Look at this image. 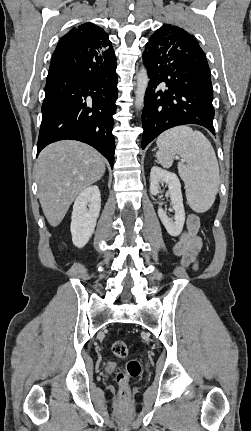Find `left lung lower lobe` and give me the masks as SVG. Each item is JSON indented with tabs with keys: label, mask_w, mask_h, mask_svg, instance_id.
<instances>
[{
	"label": "left lung lower lobe",
	"mask_w": 251,
	"mask_h": 431,
	"mask_svg": "<svg viewBox=\"0 0 251 431\" xmlns=\"http://www.w3.org/2000/svg\"><path fill=\"white\" fill-rule=\"evenodd\" d=\"M143 61L150 81L142 111V149L178 125L198 124L215 134L210 69L198 42L151 37Z\"/></svg>",
	"instance_id": "0a47b994"
}]
</instances>
